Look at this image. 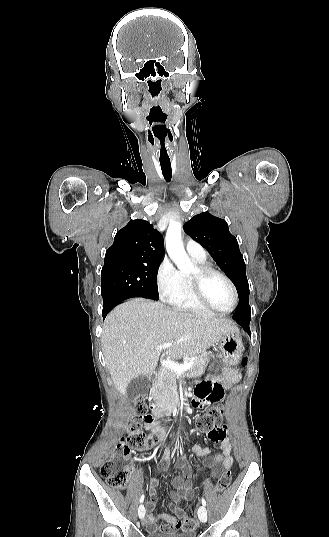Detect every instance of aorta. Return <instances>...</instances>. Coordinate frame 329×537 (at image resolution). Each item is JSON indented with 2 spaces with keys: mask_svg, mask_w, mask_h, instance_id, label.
<instances>
[{
  "mask_svg": "<svg viewBox=\"0 0 329 537\" xmlns=\"http://www.w3.org/2000/svg\"><path fill=\"white\" fill-rule=\"evenodd\" d=\"M181 229L182 226L179 222L170 223L166 233V249L178 269L187 273L194 269V264L183 247Z\"/></svg>",
  "mask_w": 329,
  "mask_h": 537,
  "instance_id": "1",
  "label": "aorta"
}]
</instances>
